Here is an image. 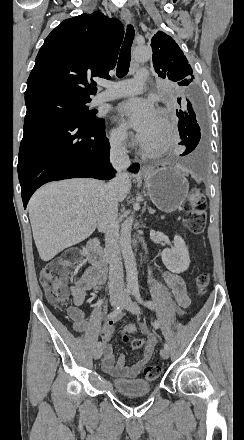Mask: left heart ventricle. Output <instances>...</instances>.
Returning <instances> with one entry per match:
<instances>
[{
	"mask_svg": "<svg viewBox=\"0 0 244 440\" xmlns=\"http://www.w3.org/2000/svg\"><path fill=\"white\" fill-rule=\"evenodd\" d=\"M166 129L167 126L164 120V116L157 113L155 121L151 126L150 133L146 135V138L158 140L159 138L164 136Z\"/></svg>",
	"mask_w": 244,
	"mask_h": 440,
	"instance_id": "b2bd125f",
	"label": "left heart ventricle"
}]
</instances>
